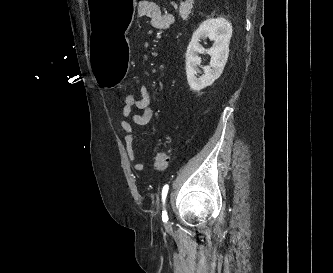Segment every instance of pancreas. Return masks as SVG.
<instances>
[{
    "label": "pancreas",
    "instance_id": "obj_1",
    "mask_svg": "<svg viewBox=\"0 0 333 273\" xmlns=\"http://www.w3.org/2000/svg\"><path fill=\"white\" fill-rule=\"evenodd\" d=\"M194 0H186L185 3H181L179 6V15L183 20H187L189 14L191 13Z\"/></svg>",
    "mask_w": 333,
    "mask_h": 273
}]
</instances>
